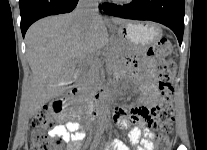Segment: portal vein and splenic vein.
I'll return each instance as SVG.
<instances>
[{
  "instance_id": "obj_1",
  "label": "portal vein and splenic vein",
  "mask_w": 207,
  "mask_h": 150,
  "mask_svg": "<svg viewBox=\"0 0 207 150\" xmlns=\"http://www.w3.org/2000/svg\"><path fill=\"white\" fill-rule=\"evenodd\" d=\"M95 62H100V60L98 58H95Z\"/></svg>"
}]
</instances>
